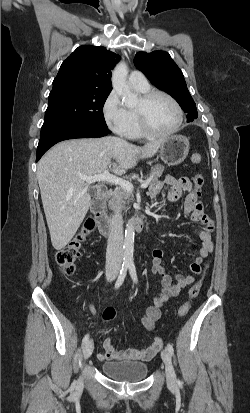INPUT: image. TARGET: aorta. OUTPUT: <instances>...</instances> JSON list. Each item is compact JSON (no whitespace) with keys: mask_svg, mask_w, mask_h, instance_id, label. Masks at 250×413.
Listing matches in <instances>:
<instances>
[{"mask_svg":"<svg viewBox=\"0 0 250 413\" xmlns=\"http://www.w3.org/2000/svg\"><path fill=\"white\" fill-rule=\"evenodd\" d=\"M128 75V68L124 62H120L116 65L112 74V85L114 90L122 97V101L127 107H133L137 103V97L131 92L126 78ZM134 226L131 221L126 225L125 239L123 246V262L125 265L133 264V251H134Z\"/></svg>","mask_w":250,"mask_h":413,"instance_id":"aorta-1","label":"aorta"}]
</instances>
